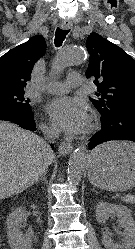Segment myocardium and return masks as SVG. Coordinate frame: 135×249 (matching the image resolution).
<instances>
[{
  "label": "myocardium",
  "instance_id": "f54148a6",
  "mask_svg": "<svg viewBox=\"0 0 135 249\" xmlns=\"http://www.w3.org/2000/svg\"><path fill=\"white\" fill-rule=\"evenodd\" d=\"M94 126H95V125H94V122L92 121V123L89 125V128H88V129L91 130V129L94 128Z\"/></svg>",
  "mask_w": 135,
  "mask_h": 249
}]
</instances>
